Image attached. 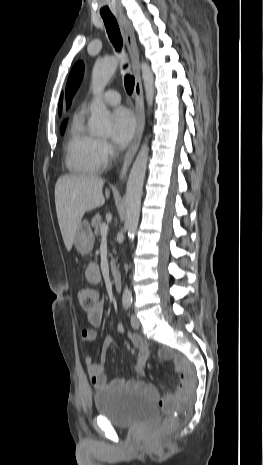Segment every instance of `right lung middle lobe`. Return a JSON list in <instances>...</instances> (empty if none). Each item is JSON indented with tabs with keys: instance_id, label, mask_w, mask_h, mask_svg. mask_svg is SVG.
<instances>
[{
	"instance_id": "right-lung-middle-lobe-1",
	"label": "right lung middle lobe",
	"mask_w": 263,
	"mask_h": 465,
	"mask_svg": "<svg viewBox=\"0 0 263 465\" xmlns=\"http://www.w3.org/2000/svg\"><path fill=\"white\" fill-rule=\"evenodd\" d=\"M66 123H67V121H64V122L62 123L61 129H60L61 133H63V131H64V129H65V126H66Z\"/></svg>"
}]
</instances>
